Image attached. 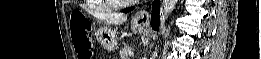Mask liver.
Instances as JSON below:
<instances>
[{
    "label": "liver",
    "mask_w": 261,
    "mask_h": 59,
    "mask_svg": "<svg viewBox=\"0 0 261 59\" xmlns=\"http://www.w3.org/2000/svg\"><path fill=\"white\" fill-rule=\"evenodd\" d=\"M96 17L99 20L105 22L106 24H114V25L122 24L127 20L126 15L118 14V13H98L96 14Z\"/></svg>",
    "instance_id": "6515ba94"
}]
</instances>
